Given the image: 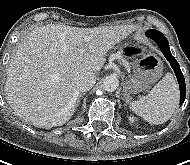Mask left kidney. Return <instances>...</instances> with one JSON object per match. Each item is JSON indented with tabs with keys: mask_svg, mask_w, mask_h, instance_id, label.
I'll return each instance as SVG.
<instances>
[{
	"mask_svg": "<svg viewBox=\"0 0 190 165\" xmlns=\"http://www.w3.org/2000/svg\"><path fill=\"white\" fill-rule=\"evenodd\" d=\"M129 121L131 122V123H133L134 121H135V119H134V117H129Z\"/></svg>",
	"mask_w": 190,
	"mask_h": 165,
	"instance_id": "left-kidney-1",
	"label": "left kidney"
}]
</instances>
